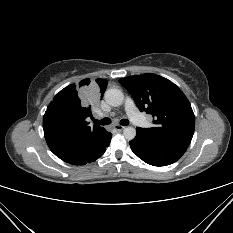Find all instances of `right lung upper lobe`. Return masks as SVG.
I'll return each instance as SVG.
<instances>
[{
  "instance_id": "cb5924a9",
  "label": "right lung upper lobe",
  "mask_w": 233,
  "mask_h": 233,
  "mask_svg": "<svg viewBox=\"0 0 233 233\" xmlns=\"http://www.w3.org/2000/svg\"><path fill=\"white\" fill-rule=\"evenodd\" d=\"M107 81L84 79L62 89L51 101L43 117L46 142L62 160H82L97 151L107 139L108 132L99 125L89 126L90 107L79 96V88L103 96Z\"/></svg>"
}]
</instances>
